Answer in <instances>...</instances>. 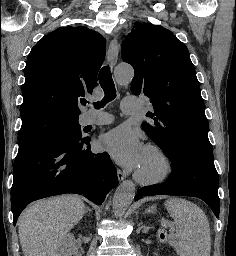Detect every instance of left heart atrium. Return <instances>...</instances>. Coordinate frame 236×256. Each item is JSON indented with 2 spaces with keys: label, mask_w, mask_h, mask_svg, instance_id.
Listing matches in <instances>:
<instances>
[{
  "label": "left heart atrium",
  "mask_w": 236,
  "mask_h": 256,
  "mask_svg": "<svg viewBox=\"0 0 236 256\" xmlns=\"http://www.w3.org/2000/svg\"><path fill=\"white\" fill-rule=\"evenodd\" d=\"M101 148L119 165L136 169L145 152V145L138 132L120 126L100 140Z\"/></svg>",
  "instance_id": "obj_1"
}]
</instances>
